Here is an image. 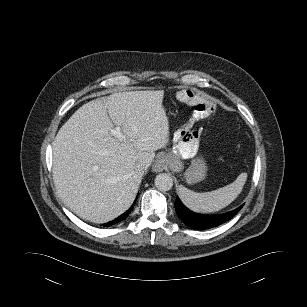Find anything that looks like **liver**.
Here are the masks:
<instances>
[{"instance_id":"6515ba94","label":"liver","mask_w":307,"mask_h":307,"mask_svg":"<svg viewBox=\"0 0 307 307\" xmlns=\"http://www.w3.org/2000/svg\"><path fill=\"white\" fill-rule=\"evenodd\" d=\"M164 91H129L81 106L52 145L53 179L62 201L80 218L104 223L133 203L155 151L169 143ZM120 126L123 139L111 134Z\"/></svg>"}]
</instances>
